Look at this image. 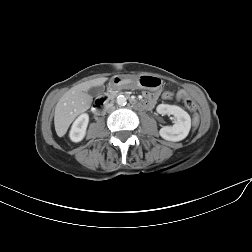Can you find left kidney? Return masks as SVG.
Wrapping results in <instances>:
<instances>
[{"mask_svg": "<svg viewBox=\"0 0 252 252\" xmlns=\"http://www.w3.org/2000/svg\"><path fill=\"white\" fill-rule=\"evenodd\" d=\"M157 112L161 115H173L175 124L173 126H164L160 129V136L168 141H181L185 139L191 128V118L189 114L179 106L160 104L157 106Z\"/></svg>", "mask_w": 252, "mask_h": 252, "instance_id": "5707ae66", "label": "left kidney"}]
</instances>
